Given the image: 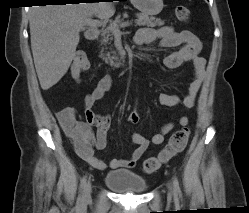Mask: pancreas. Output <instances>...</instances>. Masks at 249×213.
Here are the masks:
<instances>
[{
	"instance_id": "cf45deb5",
	"label": "pancreas",
	"mask_w": 249,
	"mask_h": 213,
	"mask_svg": "<svg viewBox=\"0 0 249 213\" xmlns=\"http://www.w3.org/2000/svg\"><path fill=\"white\" fill-rule=\"evenodd\" d=\"M137 20L135 21L137 26H149V27H155V26H163L165 22L159 18H155L153 16H149L143 13H137L136 14ZM122 19L120 16H117L116 19L110 23V25L101 30V43L106 45L110 44L111 41L113 40V27L119 26L122 23ZM103 49L101 50L100 57L106 62L109 63L110 65H114V61L118 60V57L116 56V52L112 51L111 53L113 54L111 56V53L108 52L107 54H103Z\"/></svg>"
}]
</instances>
